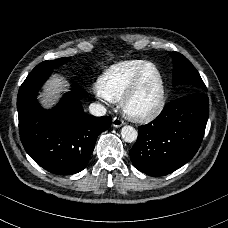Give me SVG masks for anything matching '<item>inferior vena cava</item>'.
Masks as SVG:
<instances>
[{
	"label": "inferior vena cava",
	"mask_w": 228,
	"mask_h": 228,
	"mask_svg": "<svg viewBox=\"0 0 228 228\" xmlns=\"http://www.w3.org/2000/svg\"><path fill=\"white\" fill-rule=\"evenodd\" d=\"M89 112L94 116H104L106 114V108L97 103H91L89 105Z\"/></svg>",
	"instance_id": "602c4592"
}]
</instances>
